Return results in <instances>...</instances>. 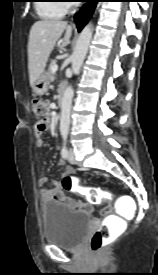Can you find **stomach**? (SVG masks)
<instances>
[{
	"label": "stomach",
	"mask_w": 158,
	"mask_h": 275,
	"mask_svg": "<svg viewBox=\"0 0 158 275\" xmlns=\"http://www.w3.org/2000/svg\"><path fill=\"white\" fill-rule=\"evenodd\" d=\"M49 82L50 81L48 79L46 72H43L33 84V92L39 96L43 95L44 93H46L48 89Z\"/></svg>",
	"instance_id": "obj_1"
}]
</instances>
